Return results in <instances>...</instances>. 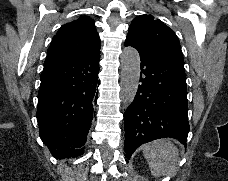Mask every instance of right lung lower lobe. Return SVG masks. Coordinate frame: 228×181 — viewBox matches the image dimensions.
<instances>
[{"instance_id": "98d812e1", "label": "right lung lower lobe", "mask_w": 228, "mask_h": 181, "mask_svg": "<svg viewBox=\"0 0 228 181\" xmlns=\"http://www.w3.org/2000/svg\"><path fill=\"white\" fill-rule=\"evenodd\" d=\"M100 50L44 66L38 93L39 135L61 158L83 154L97 98Z\"/></svg>"}]
</instances>
